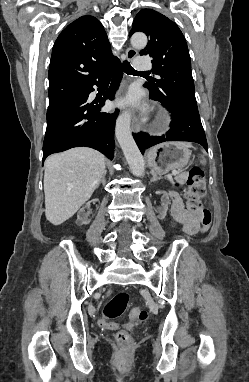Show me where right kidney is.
Segmentation results:
<instances>
[{
    "label": "right kidney",
    "instance_id": "obj_1",
    "mask_svg": "<svg viewBox=\"0 0 249 382\" xmlns=\"http://www.w3.org/2000/svg\"><path fill=\"white\" fill-rule=\"evenodd\" d=\"M97 204L96 198H89L88 201L85 202V204L82 205V209L77 215V222L81 225L88 224L89 223V213H85V211H90L91 208H95V205Z\"/></svg>",
    "mask_w": 249,
    "mask_h": 382
}]
</instances>
